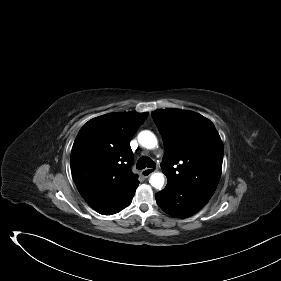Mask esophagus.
Wrapping results in <instances>:
<instances>
[{
	"instance_id": "1",
	"label": "esophagus",
	"mask_w": 281,
	"mask_h": 281,
	"mask_svg": "<svg viewBox=\"0 0 281 281\" xmlns=\"http://www.w3.org/2000/svg\"><path fill=\"white\" fill-rule=\"evenodd\" d=\"M157 169L156 168H145L144 170H142V175L144 177H148L150 176L152 173H154Z\"/></svg>"
}]
</instances>
